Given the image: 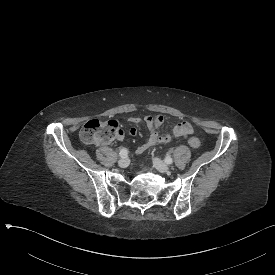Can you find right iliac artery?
<instances>
[{"label":"right iliac artery","mask_w":275,"mask_h":275,"mask_svg":"<svg viewBox=\"0 0 275 275\" xmlns=\"http://www.w3.org/2000/svg\"><path fill=\"white\" fill-rule=\"evenodd\" d=\"M120 157L124 158L128 155V150L126 148H122L119 152Z\"/></svg>","instance_id":"1"}]
</instances>
